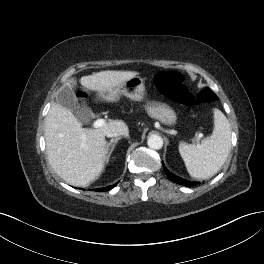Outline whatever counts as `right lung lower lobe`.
Segmentation results:
<instances>
[{
  "label": "right lung lower lobe",
  "mask_w": 264,
  "mask_h": 264,
  "mask_svg": "<svg viewBox=\"0 0 264 264\" xmlns=\"http://www.w3.org/2000/svg\"><path fill=\"white\" fill-rule=\"evenodd\" d=\"M115 185H113V186H108V187H106V188H103V189H97V190H95V191H99V192H101V191H108V190H110L111 188H113Z\"/></svg>",
  "instance_id": "98d812e1"
}]
</instances>
